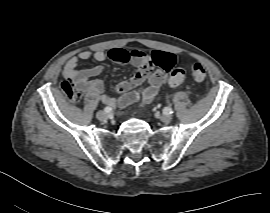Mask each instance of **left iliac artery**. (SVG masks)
Masks as SVG:
<instances>
[{"mask_svg":"<svg viewBox=\"0 0 270 213\" xmlns=\"http://www.w3.org/2000/svg\"><path fill=\"white\" fill-rule=\"evenodd\" d=\"M164 113H165V114H172V113H173V110H172V108H170V107H166V108L164 109Z\"/></svg>","mask_w":270,"mask_h":213,"instance_id":"obj_1","label":"left iliac artery"}]
</instances>
